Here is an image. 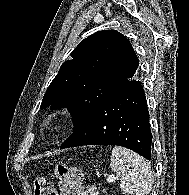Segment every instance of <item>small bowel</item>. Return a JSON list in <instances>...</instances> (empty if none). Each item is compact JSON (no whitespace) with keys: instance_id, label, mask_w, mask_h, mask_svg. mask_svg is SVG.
I'll list each match as a JSON object with an SVG mask.
<instances>
[{"instance_id":"c3829d8e","label":"small bowel","mask_w":189,"mask_h":195,"mask_svg":"<svg viewBox=\"0 0 189 195\" xmlns=\"http://www.w3.org/2000/svg\"><path fill=\"white\" fill-rule=\"evenodd\" d=\"M84 195H98V190L94 186H89L85 189Z\"/></svg>"}]
</instances>
